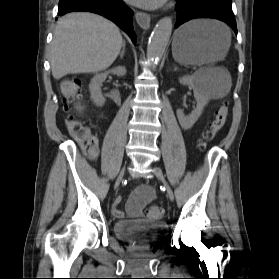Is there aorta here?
Returning <instances> with one entry per match:
<instances>
[{"label": "aorta", "mask_w": 279, "mask_h": 279, "mask_svg": "<svg viewBox=\"0 0 279 279\" xmlns=\"http://www.w3.org/2000/svg\"><path fill=\"white\" fill-rule=\"evenodd\" d=\"M173 28L171 17H164L156 24L147 47V57L152 62L159 61L169 42Z\"/></svg>", "instance_id": "aorta-1"}]
</instances>
